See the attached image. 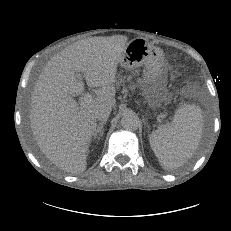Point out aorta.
I'll list each match as a JSON object with an SVG mask.
<instances>
[{
  "label": "aorta",
  "mask_w": 231,
  "mask_h": 231,
  "mask_svg": "<svg viewBox=\"0 0 231 231\" xmlns=\"http://www.w3.org/2000/svg\"><path fill=\"white\" fill-rule=\"evenodd\" d=\"M121 125L125 130L135 131L140 125V120L135 114L127 113L122 117Z\"/></svg>",
  "instance_id": "1"
}]
</instances>
